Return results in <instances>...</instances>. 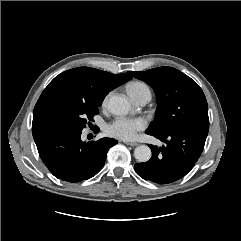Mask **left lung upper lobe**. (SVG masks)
Segmentation results:
<instances>
[{"label":"left lung upper lobe","mask_w":241,"mask_h":241,"mask_svg":"<svg viewBox=\"0 0 241 241\" xmlns=\"http://www.w3.org/2000/svg\"><path fill=\"white\" fill-rule=\"evenodd\" d=\"M130 74L149 84L156 93L158 109L146 131L166 134L194 124H209L208 105L202 89L181 71L159 67Z\"/></svg>","instance_id":"5c2ea615"}]
</instances>
